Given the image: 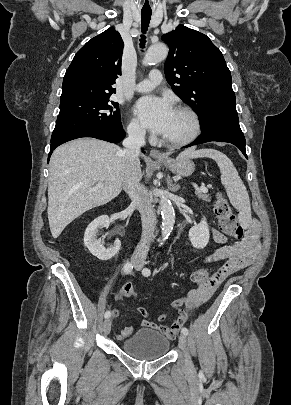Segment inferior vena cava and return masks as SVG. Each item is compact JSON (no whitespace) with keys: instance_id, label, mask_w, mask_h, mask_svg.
Wrapping results in <instances>:
<instances>
[{"instance_id":"602c4592","label":"inferior vena cava","mask_w":291,"mask_h":405,"mask_svg":"<svg viewBox=\"0 0 291 405\" xmlns=\"http://www.w3.org/2000/svg\"><path fill=\"white\" fill-rule=\"evenodd\" d=\"M145 145V131L138 127L128 129V137L123 140L124 157L123 189L132 203L138 208L142 221V238L136 247L132 261L143 263L149 251V243L156 226V214L151 200L141 185V170L137 162L140 148Z\"/></svg>"}]
</instances>
